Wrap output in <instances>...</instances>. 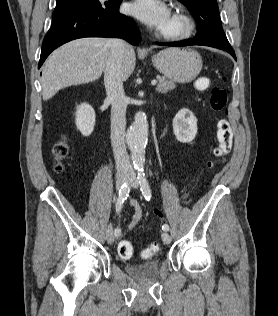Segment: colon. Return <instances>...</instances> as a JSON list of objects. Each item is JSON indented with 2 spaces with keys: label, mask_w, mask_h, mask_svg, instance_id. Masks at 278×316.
<instances>
[{
  "label": "colon",
  "mask_w": 278,
  "mask_h": 316,
  "mask_svg": "<svg viewBox=\"0 0 278 316\" xmlns=\"http://www.w3.org/2000/svg\"><path fill=\"white\" fill-rule=\"evenodd\" d=\"M208 85L206 79H200L197 81V86L199 88H204ZM227 104V92L222 88H215L211 92L210 96V106L215 111H221L225 108ZM217 140L218 144L214 150L215 158L218 160H223L226 155H228L232 148L233 133L228 121L224 118H220L217 123ZM68 144L65 140H60L53 145L52 152L57 161L55 169L61 171L62 161L68 155ZM208 166H212V162L208 163ZM158 244L152 243L143 252V257H150L158 251ZM133 245L127 240H123L118 245V253L122 258H130L133 255Z\"/></svg>",
  "instance_id": "5ec220e1"
}]
</instances>
